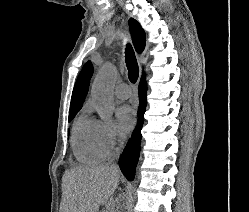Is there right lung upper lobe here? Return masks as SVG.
<instances>
[{"label": "right lung upper lobe", "instance_id": "right-lung-upper-lobe-1", "mask_svg": "<svg viewBox=\"0 0 249 212\" xmlns=\"http://www.w3.org/2000/svg\"><path fill=\"white\" fill-rule=\"evenodd\" d=\"M129 26H130V32L134 47L138 53H141L145 49V32L141 28L139 23L132 18L129 20ZM92 74H93V65L90 61H88L83 66V69L79 74L77 81L75 83L71 98L70 110L81 109L85 101V97L88 93V88Z\"/></svg>", "mask_w": 249, "mask_h": 212}]
</instances>
